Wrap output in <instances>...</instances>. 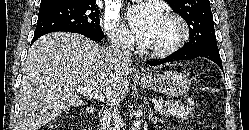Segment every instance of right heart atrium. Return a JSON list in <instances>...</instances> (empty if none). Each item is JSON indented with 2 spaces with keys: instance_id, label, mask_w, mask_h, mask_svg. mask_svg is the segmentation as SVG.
Returning a JSON list of instances; mask_svg holds the SVG:
<instances>
[{
  "instance_id": "d8ad5b80",
  "label": "right heart atrium",
  "mask_w": 249,
  "mask_h": 130,
  "mask_svg": "<svg viewBox=\"0 0 249 130\" xmlns=\"http://www.w3.org/2000/svg\"><path fill=\"white\" fill-rule=\"evenodd\" d=\"M101 25L113 45L128 51L134 48V36L116 15L106 13L101 19Z\"/></svg>"
}]
</instances>
